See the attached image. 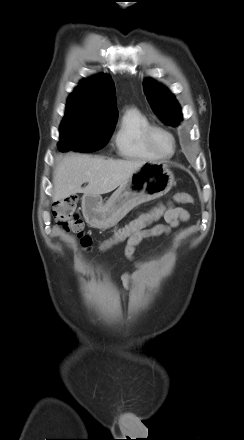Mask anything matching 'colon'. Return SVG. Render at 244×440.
I'll use <instances>...</instances> for the list:
<instances>
[{
	"mask_svg": "<svg viewBox=\"0 0 244 440\" xmlns=\"http://www.w3.org/2000/svg\"><path fill=\"white\" fill-rule=\"evenodd\" d=\"M173 199L175 202L182 204H190L193 202L191 195L185 192L175 194ZM166 209L165 206H157L149 211L141 213L139 216L116 230L110 238L105 240L101 244V250H109L127 240L135 233L152 226L164 215ZM54 215L58 225L68 232L75 233L83 247H90L91 238L83 232V222L77 211V199L75 197H70L56 203Z\"/></svg>",
	"mask_w": 244,
	"mask_h": 440,
	"instance_id": "colon-1",
	"label": "colon"
}]
</instances>
